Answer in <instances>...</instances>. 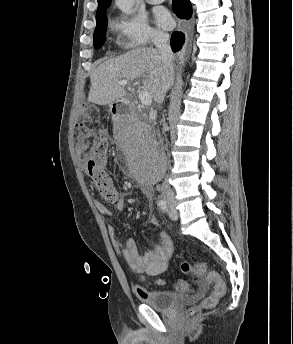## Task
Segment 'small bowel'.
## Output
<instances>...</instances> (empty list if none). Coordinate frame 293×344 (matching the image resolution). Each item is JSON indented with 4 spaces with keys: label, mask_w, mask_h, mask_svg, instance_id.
<instances>
[{
    "label": "small bowel",
    "mask_w": 293,
    "mask_h": 344,
    "mask_svg": "<svg viewBox=\"0 0 293 344\" xmlns=\"http://www.w3.org/2000/svg\"><path fill=\"white\" fill-rule=\"evenodd\" d=\"M89 140V136L80 135L78 137L79 148L81 150H85L89 145ZM124 207L125 200L121 196L115 204V208L117 210H123ZM97 209L103 215H111V210L103 203L98 202ZM149 223L156 226L158 225V220L155 216H152L149 219ZM108 233L112 239L116 252L132 269L140 273H146L149 276H158L166 270L174 251L173 243L167 234L161 233L159 244L150 249L144 255H140L138 245L135 240L128 239L123 246L120 245L117 241V229L114 225L108 226ZM178 289L186 292L189 288L186 283H182V287L178 286ZM145 291L146 290L142 287L135 288V293L139 298H142L145 295Z\"/></svg>",
    "instance_id": "obj_1"
}]
</instances>
